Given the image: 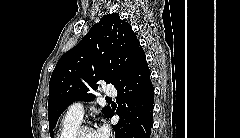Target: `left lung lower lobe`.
<instances>
[{
    "label": "left lung lower lobe",
    "mask_w": 240,
    "mask_h": 138,
    "mask_svg": "<svg viewBox=\"0 0 240 138\" xmlns=\"http://www.w3.org/2000/svg\"><path fill=\"white\" fill-rule=\"evenodd\" d=\"M116 90L119 104L116 114L120 116L119 123L113 127L116 137L149 138L153 125L154 88L143 50L137 54ZM113 115L114 112L111 111L107 119Z\"/></svg>",
    "instance_id": "0a47b994"
}]
</instances>
